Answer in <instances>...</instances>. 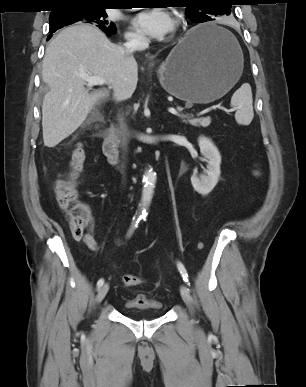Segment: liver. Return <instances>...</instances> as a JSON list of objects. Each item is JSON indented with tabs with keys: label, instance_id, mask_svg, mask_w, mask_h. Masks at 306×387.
<instances>
[{
	"label": "liver",
	"instance_id": "1",
	"mask_svg": "<svg viewBox=\"0 0 306 387\" xmlns=\"http://www.w3.org/2000/svg\"><path fill=\"white\" fill-rule=\"evenodd\" d=\"M87 77H101L108 85L89 93ZM42 79L49 86L42 105L43 141L55 147L75 132L95 104L126 87L133 92L138 65L122 46L111 43L97 27L77 24L62 30L46 48Z\"/></svg>",
	"mask_w": 306,
	"mask_h": 387
}]
</instances>
